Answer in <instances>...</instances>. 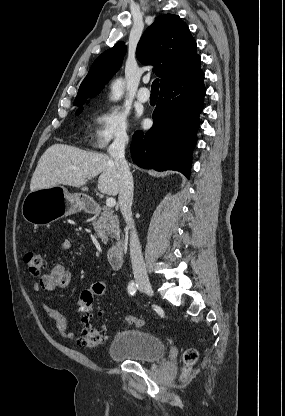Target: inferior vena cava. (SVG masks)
Here are the masks:
<instances>
[{"instance_id": "obj_1", "label": "inferior vena cava", "mask_w": 285, "mask_h": 416, "mask_svg": "<svg viewBox=\"0 0 285 416\" xmlns=\"http://www.w3.org/2000/svg\"><path fill=\"white\" fill-rule=\"evenodd\" d=\"M129 138L125 132H117L116 138L109 146L108 152L110 160L114 162L118 172L121 174V186L119 190V204L121 214L127 224L128 230H132L130 234V258L134 274L137 276H147L146 264H144L141 246L138 234L135 230L134 220L132 218L131 206L133 200V178L129 170V166L125 160V146L128 144Z\"/></svg>"}]
</instances>
